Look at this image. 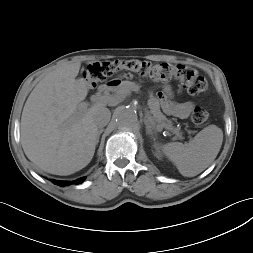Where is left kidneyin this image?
Wrapping results in <instances>:
<instances>
[{
  "label": "left kidney",
  "instance_id": "1",
  "mask_svg": "<svg viewBox=\"0 0 253 253\" xmlns=\"http://www.w3.org/2000/svg\"><path fill=\"white\" fill-rule=\"evenodd\" d=\"M157 158H160L159 151L156 153Z\"/></svg>",
  "mask_w": 253,
  "mask_h": 253
}]
</instances>
